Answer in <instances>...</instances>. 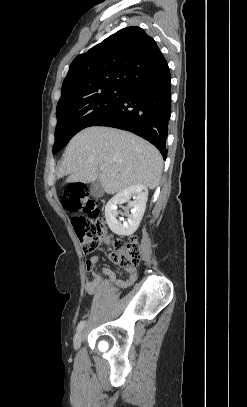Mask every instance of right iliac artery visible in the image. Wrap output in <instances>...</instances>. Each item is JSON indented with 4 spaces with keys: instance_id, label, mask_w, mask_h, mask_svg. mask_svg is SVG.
I'll return each mask as SVG.
<instances>
[{
    "instance_id": "obj_1",
    "label": "right iliac artery",
    "mask_w": 247,
    "mask_h": 407,
    "mask_svg": "<svg viewBox=\"0 0 247 407\" xmlns=\"http://www.w3.org/2000/svg\"><path fill=\"white\" fill-rule=\"evenodd\" d=\"M84 326H85V321H81L77 326V331L78 332L81 331Z\"/></svg>"
}]
</instances>
